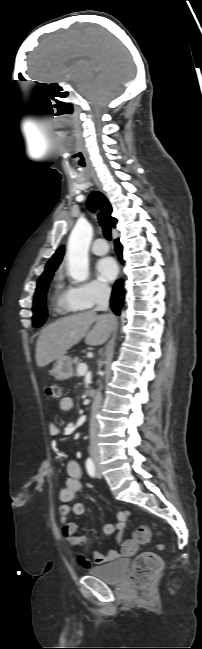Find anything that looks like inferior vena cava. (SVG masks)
<instances>
[{"label":"inferior vena cava","instance_id":"obj_1","mask_svg":"<svg viewBox=\"0 0 202 649\" xmlns=\"http://www.w3.org/2000/svg\"><path fill=\"white\" fill-rule=\"evenodd\" d=\"M96 309L97 311H107L109 307V299L111 295V289L108 285L100 284L96 287ZM101 402V395L98 394L93 403V420L91 422L90 426V447H89V452L92 457L98 456L99 455V447L97 445L98 442V437H97V429H98V424L96 420V412L100 406Z\"/></svg>","mask_w":202,"mask_h":649}]
</instances>
